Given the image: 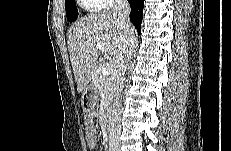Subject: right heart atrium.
I'll use <instances>...</instances> for the list:
<instances>
[{
    "label": "right heart atrium",
    "mask_w": 231,
    "mask_h": 151,
    "mask_svg": "<svg viewBox=\"0 0 231 151\" xmlns=\"http://www.w3.org/2000/svg\"><path fill=\"white\" fill-rule=\"evenodd\" d=\"M85 2L93 5L95 9H106L120 3L118 0H87Z\"/></svg>",
    "instance_id": "obj_1"
}]
</instances>
